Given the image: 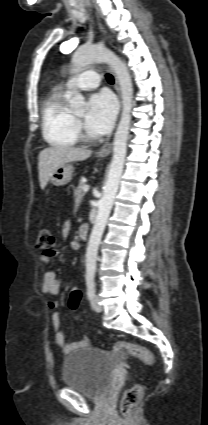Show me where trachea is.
Masks as SVG:
<instances>
[{
  "label": "trachea",
  "mask_w": 208,
  "mask_h": 425,
  "mask_svg": "<svg viewBox=\"0 0 208 425\" xmlns=\"http://www.w3.org/2000/svg\"><path fill=\"white\" fill-rule=\"evenodd\" d=\"M106 78H107V81L110 84H113L114 83V78H113V76L111 74H106Z\"/></svg>",
  "instance_id": "trachea-1"
}]
</instances>
